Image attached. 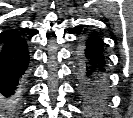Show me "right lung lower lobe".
<instances>
[{"label":"right lung lower lobe","instance_id":"98d812e1","mask_svg":"<svg viewBox=\"0 0 133 118\" xmlns=\"http://www.w3.org/2000/svg\"><path fill=\"white\" fill-rule=\"evenodd\" d=\"M29 53L25 39L0 50V109L12 112L28 74Z\"/></svg>","mask_w":133,"mask_h":118}]
</instances>
